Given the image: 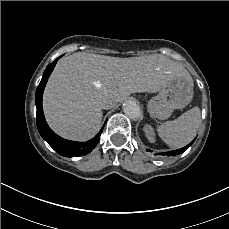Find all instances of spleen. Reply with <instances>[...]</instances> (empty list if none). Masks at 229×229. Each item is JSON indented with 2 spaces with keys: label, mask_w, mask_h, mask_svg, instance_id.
Returning <instances> with one entry per match:
<instances>
[{
  "label": "spleen",
  "mask_w": 229,
  "mask_h": 229,
  "mask_svg": "<svg viewBox=\"0 0 229 229\" xmlns=\"http://www.w3.org/2000/svg\"><path fill=\"white\" fill-rule=\"evenodd\" d=\"M201 123L199 107L183 113L176 120L167 121L157 127L159 137L171 148L178 149L189 144L196 136Z\"/></svg>",
  "instance_id": "1"
}]
</instances>
